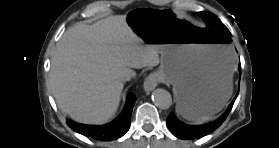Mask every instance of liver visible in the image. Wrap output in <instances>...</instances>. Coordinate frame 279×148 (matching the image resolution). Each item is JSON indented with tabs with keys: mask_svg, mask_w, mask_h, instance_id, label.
<instances>
[{
	"mask_svg": "<svg viewBox=\"0 0 279 148\" xmlns=\"http://www.w3.org/2000/svg\"><path fill=\"white\" fill-rule=\"evenodd\" d=\"M159 54L131 30L125 16L78 24L63 34L53 53L51 91L58 107L75 121L105 123L120 102L121 74L134 76L131 68L157 66Z\"/></svg>",
	"mask_w": 279,
	"mask_h": 148,
	"instance_id": "6515ba94",
	"label": "liver"
}]
</instances>
